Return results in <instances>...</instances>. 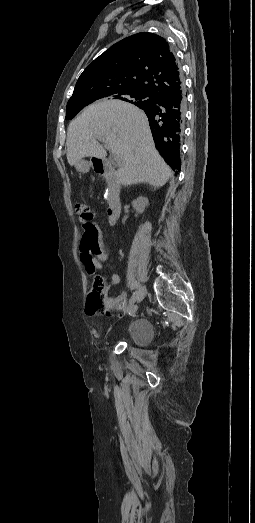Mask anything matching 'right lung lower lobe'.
Listing matches in <instances>:
<instances>
[{
  "label": "right lung lower lobe",
  "instance_id": "98d812e1",
  "mask_svg": "<svg viewBox=\"0 0 255 523\" xmlns=\"http://www.w3.org/2000/svg\"><path fill=\"white\" fill-rule=\"evenodd\" d=\"M181 105L182 100L178 96L167 98L155 105L152 112V117L154 120L159 122L157 125V130L159 132L158 139L160 142L164 144H169L172 142L178 127L176 109L180 108ZM180 169L181 166L178 171H180Z\"/></svg>",
  "mask_w": 255,
  "mask_h": 523
}]
</instances>
